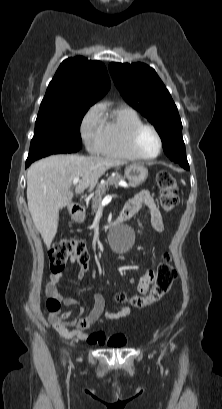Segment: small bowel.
<instances>
[{
    "mask_svg": "<svg viewBox=\"0 0 222 409\" xmlns=\"http://www.w3.org/2000/svg\"><path fill=\"white\" fill-rule=\"evenodd\" d=\"M146 208L150 214V223L152 228L157 232L164 231V224L161 218L160 211L158 210L153 197L148 191H142L138 193L133 199L129 200L125 207L122 209V213L128 214L129 218ZM76 259L72 257L71 263H74ZM85 276V270L81 267L77 273L75 282H79ZM156 277L154 269H148L139 282L138 288L141 286H150L149 284L154 281ZM63 273L51 274L45 286L46 295L57 299L64 306L70 308H77L80 306V301L76 298L70 297L62 293L59 288L64 286ZM140 295L146 296L147 290L143 287L140 289ZM92 307L86 314H78L71 320H66L67 315L59 316L57 314L49 315V322L61 334L87 341L91 345L109 346V347H122L125 344L123 336L117 335L107 337L105 333L99 331L89 332L97 324L103 323L106 320H118L130 315V309L127 307L122 308L119 311H108L104 313L105 299L100 293H94L92 295ZM70 328H73L70 330Z\"/></svg>",
    "mask_w": 222,
    "mask_h": 409,
    "instance_id": "obj_1",
    "label": "small bowel"
}]
</instances>
